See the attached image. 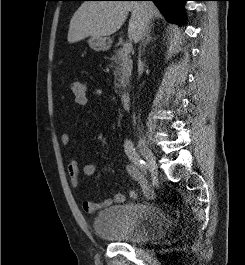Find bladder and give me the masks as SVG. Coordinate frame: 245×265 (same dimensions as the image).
<instances>
[{
	"mask_svg": "<svg viewBox=\"0 0 245 265\" xmlns=\"http://www.w3.org/2000/svg\"><path fill=\"white\" fill-rule=\"evenodd\" d=\"M95 233L116 243L150 242L168 232L164 212L150 203H124L99 211L93 221Z\"/></svg>",
	"mask_w": 245,
	"mask_h": 265,
	"instance_id": "obj_1",
	"label": "bladder"
}]
</instances>
